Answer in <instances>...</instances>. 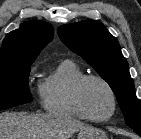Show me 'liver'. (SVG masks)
Listing matches in <instances>:
<instances>
[{
	"label": "liver",
	"instance_id": "6515ba94",
	"mask_svg": "<svg viewBox=\"0 0 141 139\" xmlns=\"http://www.w3.org/2000/svg\"><path fill=\"white\" fill-rule=\"evenodd\" d=\"M87 127L68 114H0V139H69L75 132Z\"/></svg>",
	"mask_w": 141,
	"mask_h": 139
}]
</instances>
